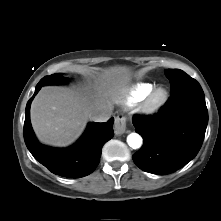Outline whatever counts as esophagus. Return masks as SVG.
Returning a JSON list of instances; mask_svg holds the SVG:
<instances>
[{
  "instance_id": "esophagus-1",
  "label": "esophagus",
  "mask_w": 221,
  "mask_h": 221,
  "mask_svg": "<svg viewBox=\"0 0 221 221\" xmlns=\"http://www.w3.org/2000/svg\"><path fill=\"white\" fill-rule=\"evenodd\" d=\"M127 125V118L123 115H118L115 118L114 130L116 135H121L125 132Z\"/></svg>"
}]
</instances>
